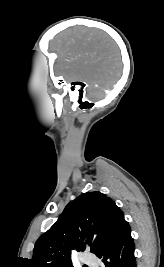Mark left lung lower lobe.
Listing matches in <instances>:
<instances>
[{"instance_id": "0a47b994", "label": "left lung lower lobe", "mask_w": 164, "mask_h": 267, "mask_svg": "<svg viewBox=\"0 0 164 267\" xmlns=\"http://www.w3.org/2000/svg\"><path fill=\"white\" fill-rule=\"evenodd\" d=\"M134 249L130 226L125 222L96 256L105 267H136Z\"/></svg>"}]
</instances>
